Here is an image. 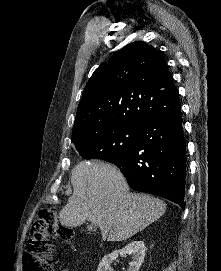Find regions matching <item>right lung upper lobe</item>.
<instances>
[{
	"mask_svg": "<svg viewBox=\"0 0 221 271\" xmlns=\"http://www.w3.org/2000/svg\"><path fill=\"white\" fill-rule=\"evenodd\" d=\"M180 107L166 60L137 41L117 51L89 79L81 97L72 140L119 125L143 126Z\"/></svg>",
	"mask_w": 221,
	"mask_h": 271,
	"instance_id": "right-lung-upper-lobe-1",
	"label": "right lung upper lobe"
}]
</instances>
